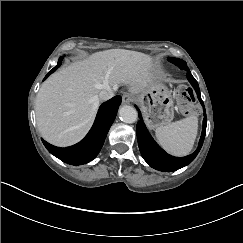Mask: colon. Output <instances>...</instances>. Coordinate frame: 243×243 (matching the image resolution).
<instances>
[{
	"label": "colon",
	"mask_w": 243,
	"mask_h": 243,
	"mask_svg": "<svg viewBox=\"0 0 243 243\" xmlns=\"http://www.w3.org/2000/svg\"><path fill=\"white\" fill-rule=\"evenodd\" d=\"M176 98L182 113L186 115H193L196 113L194 106L195 99L191 89L179 87L176 91Z\"/></svg>",
	"instance_id": "obj_1"
}]
</instances>
